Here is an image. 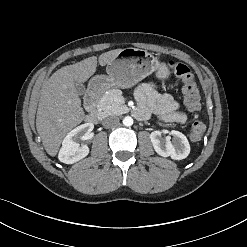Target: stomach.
Here are the masks:
<instances>
[{
	"instance_id": "stomach-1",
	"label": "stomach",
	"mask_w": 247,
	"mask_h": 247,
	"mask_svg": "<svg viewBox=\"0 0 247 247\" xmlns=\"http://www.w3.org/2000/svg\"><path fill=\"white\" fill-rule=\"evenodd\" d=\"M107 75H97L90 81L92 86L102 90L112 87L130 88L155 72L156 77L164 80L169 70L151 53L138 48L122 49L116 58L107 64Z\"/></svg>"
}]
</instances>
